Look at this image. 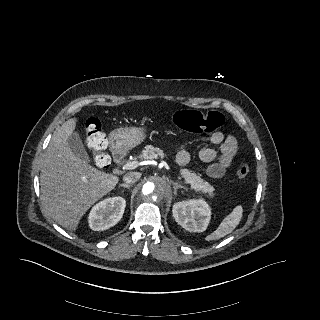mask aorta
<instances>
[{"instance_id": "1", "label": "aorta", "mask_w": 320, "mask_h": 320, "mask_svg": "<svg viewBox=\"0 0 320 320\" xmlns=\"http://www.w3.org/2000/svg\"><path fill=\"white\" fill-rule=\"evenodd\" d=\"M169 184L161 177L149 179L140 189L142 198L147 203H158L170 193ZM156 199V201H154Z\"/></svg>"}]
</instances>
